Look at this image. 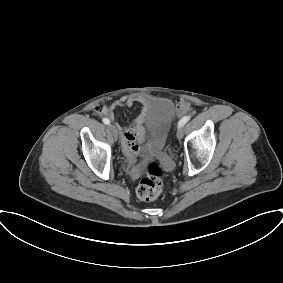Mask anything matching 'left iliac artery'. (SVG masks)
Returning <instances> with one entry per match:
<instances>
[{"mask_svg": "<svg viewBox=\"0 0 283 283\" xmlns=\"http://www.w3.org/2000/svg\"><path fill=\"white\" fill-rule=\"evenodd\" d=\"M190 120V116H184L180 121L178 122V127L184 126L188 121Z\"/></svg>", "mask_w": 283, "mask_h": 283, "instance_id": "left-iliac-artery-1", "label": "left iliac artery"}]
</instances>
